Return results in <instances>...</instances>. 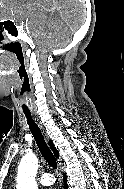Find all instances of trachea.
<instances>
[{"instance_id":"1","label":"trachea","mask_w":124,"mask_h":189,"mask_svg":"<svg viewBox=\"0 0 124 189\" xmlns=\"http://www.w3.org/2000/svg\"><path fill=\"white\" fill-rule=\"evenodd\" d=\"M24 114L27 118V122H28V125H29V128H30V131H31L36 143H37V146H38L42 156L44 157L46 162L53 169H56L57 168L56 159H55L53 153L51 152V150L49 149V147L47 146L42 132L40 131L39 127L37 126V124L32 119L31 113L30 112H24Z\"/></svg>"}]
</instances>
